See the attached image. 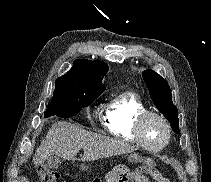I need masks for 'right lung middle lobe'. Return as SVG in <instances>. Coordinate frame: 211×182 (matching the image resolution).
I'll use <instances>...</instances> for the list:
<instances>
[{
	"instance_id": "dd1d6c3e",
	"label": "right lung middle lobe",
	"mask_w": 211,
	"mask_h": 182,
	"mask_svg": "<svg viewBox=\"0 0 211 182\" xmlns=\"http://www.w3.org/2000/svg\"><path fill=\"white\" fill-rule=\"evenodd\" d=\"M103 91L95 87L75 83L65 78L55 81L53 98L48 103L44 117L56 115L61 118L71 117L89 106Z\"/></svg>"
}]
</instances>
